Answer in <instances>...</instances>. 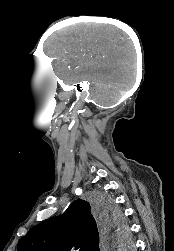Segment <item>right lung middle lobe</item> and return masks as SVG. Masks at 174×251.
<instances>
[{
	"label": "right lung middle lobe",
	"mask_w": 174,
	"mask_h": 251,
	"mask_svg": "<svg viewBox=\"0 0 174 251\" xmlns=\"http://www.w3.org/2000/svg\"><path fill=\"white\" fill-rule=\"evenodd\" d=\"M93 206L102 221L103 228L112 236V245L115 248L128 250L131 243L123 241L128 233V227L124 222L121 211L114 205L111 198L99 192L94 195Z\"/></svg>",
	"instance_id": "obj_1"
}]
</instances>
